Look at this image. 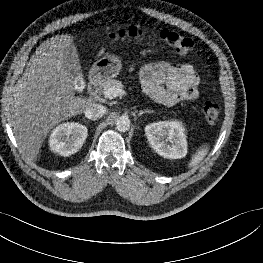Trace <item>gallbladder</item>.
I'll return each instance as SVG.
<instances>
[{
	"label": "gallbladder",
	"instance_id": "obj_1",
	"mask_svg": "<svg viewBox=\"0 0 263 263\" xmlns=\"http://www.w3.org/2000/svg\"><path fill=\"white\" fill-rule=\"evenodd\" d=\"M63 61L66 71L69 73V75L74 81L82 78V69L76 50L72 48L67 49V53L64 54Z\"/></svg>",
	"mask_w": 263,
	"mask_h": 263
}]
</instances>
